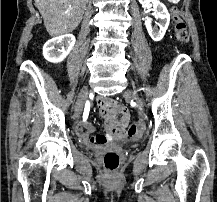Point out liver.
<instances>
[{
  "label": "liver",
  "mask_w": 217,
  "mask_h": 202,
  "mask_svg": "<svg viewBox=\"0 0 217 202\" xmlns=\"http://www.w3.org/2000/svg\"><path fill=\"white\" fill-rule=\"evenodd\" d=\"M52 38L69 34L79 26L88 0H34Z\"/></svg>",
  "instance_id": "obj_1"
}]
</instances>
